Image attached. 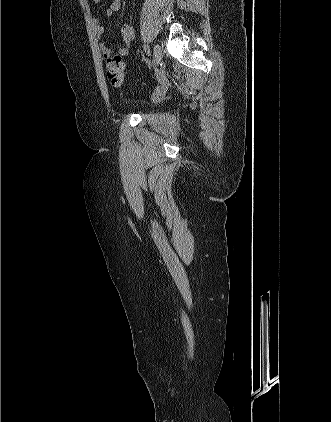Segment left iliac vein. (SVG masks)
Wrapping results in <instances>:
<instances>
[{
    "instance_id": "4c4485c4",
    "label": "left iliac vein",
    "mask_w": 331,
    "mask_h": 422,
    "mask_svg": "<svg viewBox=\"0 0 331 422\" xmlns=\"http://www.w3.org/2000/svg\"><path fill=\"white\" fill-rule=\"evenodd\" d=\"M163 58V51L159 44L154 45V62L158 65Z\"/></svg>"
}]
</instances>
